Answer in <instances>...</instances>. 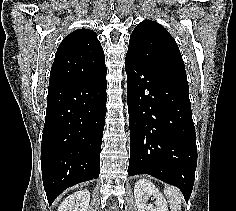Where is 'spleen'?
Returning a JSON list of instances; mask_svg holds the SVG:
<instances>
[{"instance_id": "spleen-1", "label": "spleen", "mask_w": 236, "mask_h": 211, "mask_svg": "<svg viewBox=\"0 0 236 211\" xmlns=\"http://www.w3.org/2000/svg\"><path fill=\"white\" fill-rule=\"evenodd\" d=\"M164 194L170 205L171 211H181V204L183 195L177 188L167 186L164 190Z\"/></svg>"}]
</instances>
